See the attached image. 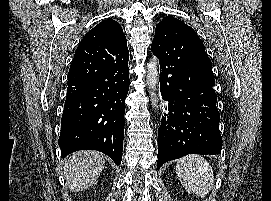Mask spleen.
I'll list each match as a JSON object with an SVG mask.
<instances>
[{"instance_id": "3e777b00", "label": "spleen", "mask_w": 271, "mask_h": 201, "mask_svg": "<svg viewBox=\"0 0 271 201\" xmlns=\"http://www.w3.org/2000/svg\"><path fill=\"white\" fill-rule=\"evenodd\" d=\"M176 174L189 194L206 197L214 186L210 163L201 155L190 154L177 161Z\"/></svg>"}]
</instances>
